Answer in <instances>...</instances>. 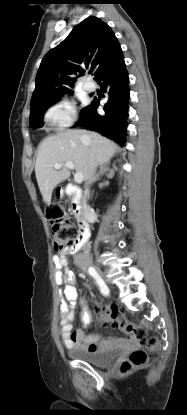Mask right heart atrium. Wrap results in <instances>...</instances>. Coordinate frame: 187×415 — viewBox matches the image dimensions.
Here are the masks:
<instances>
[{"mask_svg":"<svg viewBox=\"0 0 187 415\" xmlns=\"http://www.w3.org/2000/svg\"><path fill=\"white\" fill-rule=\"evenodd\" d=\"M76 120L75 107L61 101L50 106L43 115V121L53 130H64L73 125Z\"/></svg>","mask_w":187,"mask_h":415,"instance_id":"obj_1","label":"right heart atrium"}]
</instances>
